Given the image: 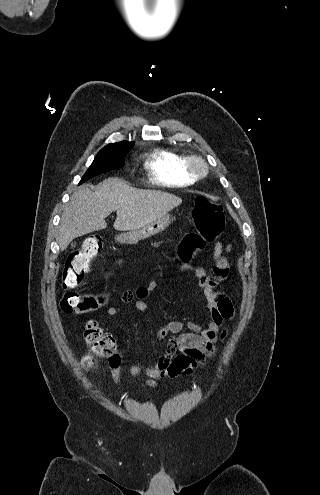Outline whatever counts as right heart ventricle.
I'll return each instance as SVG.
<instances>
[{"instance_id":"e07e8e85","label":"right heart ventricle","mask_w":320,"mask_h":495,"mask_svg":"<svg viewBox=\"0 0 320 495\" xmlns=\"http://www.w3.org/2000/svg\"><path fill=\"white\" fill-rule=\"evenodd\" d=\"M186 156L174 150L158 148L145 161L151 180L164 186L182 187L195 182L196 178L186 170Z\"/></svg>"}]
</instances>
